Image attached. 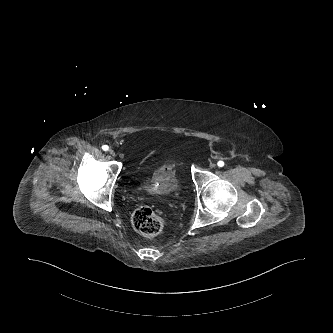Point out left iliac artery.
<instances>
[{
  "label": "left iliac artery",
  "mask_w": 333,
  "mask_h": 333,
  "mask_svg": "<svg viewBox=\"0 0 333 333\" xmlns=\"http://www.w3.org/2000/svg\"><path fill=\"white\" fill-rule=\"evenodd\" d=\"M217 165H218L219 167H223V166H224V162L220 160V161H218Z\"/></svg>",
  "instance_id": "obj_1"
}]
</instances>
